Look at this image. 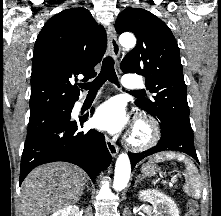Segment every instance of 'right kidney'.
Masks as SVG:
<instances>
[{
  "instance_id": "right-kidney-1",
  "label": "right kidney",
  "mask_w": 221,
  "mask_h": 216,
  "mask_svg": "<svg viewBox=\"0 0 221 216\" xmlns=\"http://www.w3.org/2000/svg\"><path fill=\"white\" fill-rule=\"evenodd\" d=\"M51 216H79V208L77 206H69L56 211Z\"/></svg>"
}]
</instances>
